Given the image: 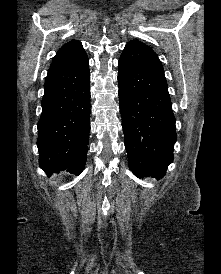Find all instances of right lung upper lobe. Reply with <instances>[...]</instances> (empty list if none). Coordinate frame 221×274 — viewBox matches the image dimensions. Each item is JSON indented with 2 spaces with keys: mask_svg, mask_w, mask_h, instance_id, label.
Returning a JSON list of instances; mask_svg holds the SVG:
<instances>
[{
  "mask_svg": "<svg viewBox=\"0 0 221 274\" xmlns=\"http://www.w3.org/2000/svg\"><path fill=\"white\" fill-rule=\"evenodd\" d=\"M85 50L77 40L63 45L52 60L48 75L64 70L87 59Z\"/></svg>",
  "mask_w": 221,
  "mask_h": 274,
  "instance_id": "obj_1",
  "label": "right lung upper lobe"
}]
</instances>
